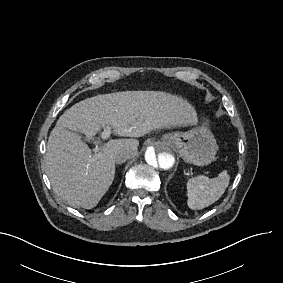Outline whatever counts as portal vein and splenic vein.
<instances>
[{
  "instance_id": "obj_1",
  "label": "portal vein and splenic vein",
  "mask_w": 283,
  "mask_h": 283,
  "mask_svg": "<svg viewBox=\"0 0 283 283\" xmlns=\"http://www.w3.org/2000/svg\"><path fill=\"white\" fill-rule=\"evenodd\" d=\"M110 135H111V127L106 126V127L104 128L103 132L101 133V138H102L103 140H106V139H108V138L110 137ZM94 151H95V152H98L97 149H94Z\"/></svg>"
}]
</instances>
